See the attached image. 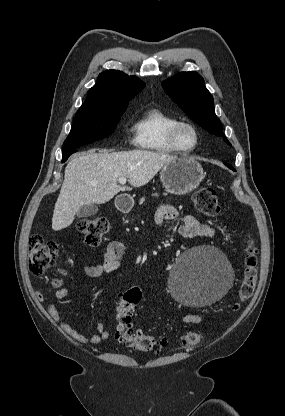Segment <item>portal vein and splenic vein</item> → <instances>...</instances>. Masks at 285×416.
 Instances as JSON below:
<instances>
[{
  "instance_id": "18ae733b",
  "label": "portal vein and splenic vein",
  "mask_w": 285,
  "mask_h": 416,
  "mask_svg": "<svg viewBox=\"0 0 285 416\" xmlns=\"http://www.w3.org/2000/svg\"><path fill=\"white\" fill-rule=\"evenodd\" d=\"M118 182L124 186V184H126V178H118ZM127 190H129V188H127Z\"/></svg>"
}]
</instances>
